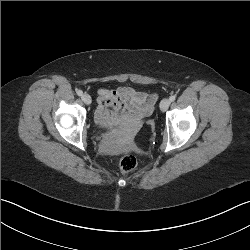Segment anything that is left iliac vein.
I'll list each match as a JSON object with an SVG mask.
<instances>
[{"label":"left iliac vein","mask_w":250,"mask_h":250,"mask_svg":"<svg viewBox=\"0 0 250 250\" xmlns=\"http://www.w3.org/2000/svg\"><path fill=\"white\" fill-rule=\"evenodd\" d=\"M170 103L171 102L169 99H167V98L163 99L160 103L161 111H163V112L166 111L168 109V107L170 106Z\"/></svg>","instance_id":"4c4485c4"}]
</instances>
